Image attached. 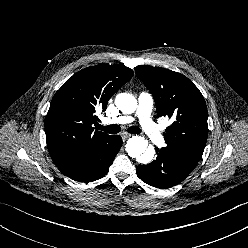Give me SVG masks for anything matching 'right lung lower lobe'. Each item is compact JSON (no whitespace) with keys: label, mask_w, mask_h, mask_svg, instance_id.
Returning a JSON list of instances; mask_svg holds the SVG:
<instances>
[{"label":"right lung lower lobe","mask_w":248,"mask_h":248,"mask_svg":"<svg viewBox=\"0 0 248 248\" xmlns=\"http://www.w3.org/2000/svg\"><path fill=\"white\" fill-rule=\"evenodd\" d=\"M122 145V138L109 135L86 152H81L69 163L58 167L69 178L79 182H92L105 176Z\"/></svg>","instance_id":"1"}]
</instances>
